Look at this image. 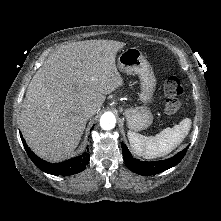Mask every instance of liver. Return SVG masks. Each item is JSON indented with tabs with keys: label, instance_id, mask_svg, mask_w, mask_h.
I'll return each mask as SVG.
<instances>
[{
	"label": "liver",
	"instance_id": "1",
	"mask_svg": "<svg viewBox=\"0 0 221 221\" xmlns=\"http://www.w3.org/2000/svg\"><path fill=\"white\" fill-rule=\"evenodd\" d=\"M124 42L86 40L63 45L33 76L20 115V129L41 158L57 162L75 150L88 118L83 107L97 110L105 95L123 86L115 62Z\"/></svg>",
	"mask_w": 221,
	"mask_h": 221
}]
</instances>
